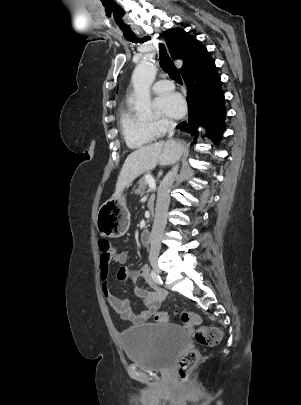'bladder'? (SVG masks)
I'll use <instances>...</instances> for the list:
<instances>
[{"instance_id":"obj_1","label":"bladder","mask_w":301,"mask_h":405,"mask_svg":"<svg viewBox=\"0 0 301 405\" xmlns=\"http://www.w3.org/2000/svg\"><path fill=\"white\" fill-rule=\"evenodd\" d=\"M129 361L145 369L166 372L187 347V331L178 325L146 323L130 327L120 334Z\"/></svg>"}]
</instances>
